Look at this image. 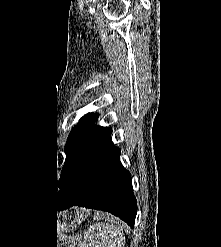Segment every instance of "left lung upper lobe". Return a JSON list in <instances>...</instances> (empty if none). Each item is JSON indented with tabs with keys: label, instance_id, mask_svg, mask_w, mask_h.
Masks as SVG:
<instances>
[{
	"label": "left lung upper lobe",
	"instance_id": "5c2ea615",
	"mask_svg": "<svg viewBox=\"0 0 221 247\" xmlns=\"http://www.w3.org/2000/svg\"><path fill=\"white\" fill-rule=\"evenodd\" d=\"M97 118L98 114L88 113L72 129L64 149L66 160L58 181L60 190L65 189L70 184L91 145L107 129L95 124Z\"/></svg>",
	"mask_w": 221,
	"mask_h": 247
}]
</instances>
